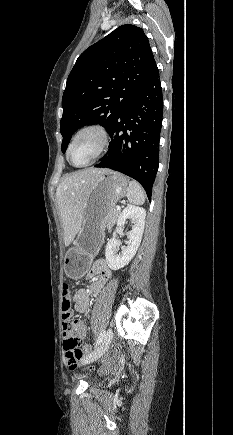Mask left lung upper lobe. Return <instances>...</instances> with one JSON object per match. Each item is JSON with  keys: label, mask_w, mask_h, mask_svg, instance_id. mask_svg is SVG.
I'll return each mask as SVG.
<instances>
[{"label": "left lung upper lobe", "mask_w": 233, "mask_h": 435, "mask_svg": "<svg viewBox=\"0 0 233 435\" xmlns=\"http://www.w3.org/2000/svg\"><path fill=\"white\" fill-rule=\"evenodd\" d=\"M155 68L148 38L134 25H122L87 48L71 70L63 93L62 152L84 125L97 123L109 132Z\"/></svg>", "instance_id": "left-lung-upper-lobe-1"}]
</instances>
